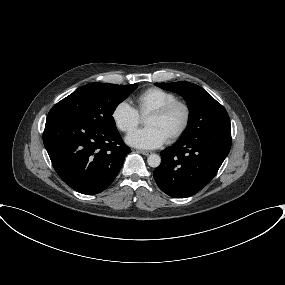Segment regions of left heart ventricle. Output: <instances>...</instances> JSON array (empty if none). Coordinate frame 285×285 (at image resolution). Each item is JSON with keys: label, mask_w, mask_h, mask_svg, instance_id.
<instances>
[{"label": "left heart ventricle", "mask_w": 285, "mask_h": 285, "mask_svg": "<svg viewBox=\"0 0 285 285\" xmlns=\"http://www.w3.org/2000/svg\"><path fill=\"white\" fill-rule=\"evenodd\" d=\"M183 112L180 108L173 109L165 116L159 117L148 115L145 120L146 126H155L159 128L166 138L178 129L182 122Z\"/></svg>", "instance_id": "left-heart-ventricle-1"}]
</instances>
